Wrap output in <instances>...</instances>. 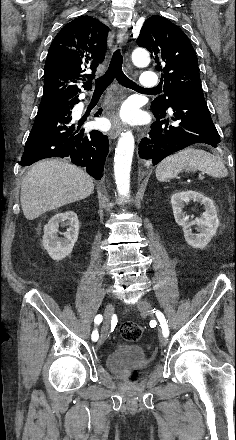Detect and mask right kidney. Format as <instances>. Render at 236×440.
<instances>
[{
    "instance_id": "ca27d5eb",
    "label": "right kidney",
    "mask_w": 236,
    "mask_h": 440,
    "mask_svg": "<svg viewBox=\"0 0 236 440\" xmlns=\"http://www.w3.org/2000/svg\"><path fill=\"white\" fill-rule=\"evenodd\" d=\"M68 226L66 232L60 233L59 227ZM58 233L63 235L61 238ZM79 220L74 211L57 213L44 226L43 247L53 260H62L69 256L78 240Z\"/></svg>"
}]
</instances>
